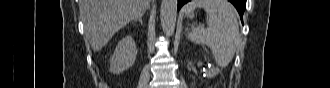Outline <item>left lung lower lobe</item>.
Here are the masks:
<instances>
[{
    "mask_svg": "<svg viewBox=\"0 0 330 88\" xmlns=\"http://www.w3.org/2000/svg\"><path fill=\"white\" fill-rule=\"evenodd\" d=\"M190 0H178V10L182 7L183 4L189 2ZM238 10L241 21L243 23V13L245 10H243V3H246V0H229Z\"/></svg>",
    "mask_w": 330,
    "mask_h": 88,
    "instance_id": "left-lung-lower-lobe-1",
    "label": "left lung lower lobe"
}]
</instances>
